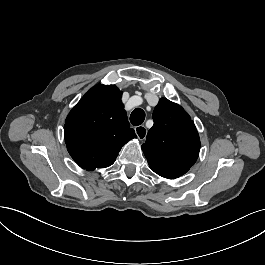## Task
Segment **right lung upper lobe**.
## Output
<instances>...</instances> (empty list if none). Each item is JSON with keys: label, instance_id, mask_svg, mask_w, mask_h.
<instances>
[{"label": "right lung upper lobe", "instance_id": "cb5924a9", "mask_svg": "<svg viewBox=\"0 0 265 265\" xmlns=\"http://www.w3.org/2000/svg\"><path fill=\"white\" fill-rule=\"evenodd\" d=\"M115 85L92 87L68 114L64 137L73 160L83 169L111 166L122 146L136 138Z\"/></svg>", "mask_w": 265, "mask_h": 265}]
</instances>
